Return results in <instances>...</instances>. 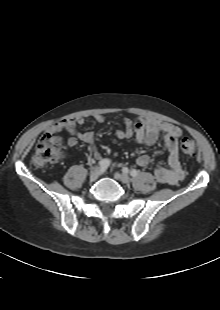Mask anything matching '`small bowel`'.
Masks as SVG:
<instances>
[{
  "mask_svg": "<svg viewBox=\"0 0 220 310\" xmlns=\"http://www.w3.org/2000/svg\"><path fill=\"white\" fill-rule=\"evenodd\" d=\"M97 122H103V115H96ZM83 117L62 119L48 128V132L66 131L69 134L68 146L75 147L79 141L90 146V155L94 160H101V154L95 145L96 137L91 131L80 132L78 125L84 124ZM124 127L116 131L119 139L134 138L136 142L146 146L154 145L160 134H163L164 144L168 150V166L159 165L155 167L153 176L159 183L177 185L185 177V172L180 162L179 139L183 131L177 125L163 122L153 118H139L137 120L124 119ZM150 158L147 155H140L136 159V164L140 167H147Z\"/></svg>",
  "mask_w": 220,
  "mask_h": 310,
  "instance_id": "small-bowel-1",
  "label": "small bowel"
}]
</instances>
